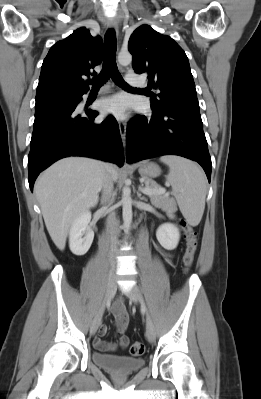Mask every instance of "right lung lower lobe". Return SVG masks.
I'll return each instance as SVG.
<instances>
[{
    "mask_svg": "<svg viewBox=\"0 0 261 399\" xmlns=\"http://www.w3.org/2000/svg\"><path fill=\"white\" fill-rule=\"evenodd\" d=\"M79 98L73 103H58L35 109L34 130L28 155L29 186L41 171L68 156H86L124 164L123 146L117 121L108 116L94 123L97 111L76 115Z\"/></svg>",
    "mask_w": 261,
    "mask_h": 399,
    "instance_id": "obj_1",
    "label": "right lung lower lobe"
}]
</instances>
